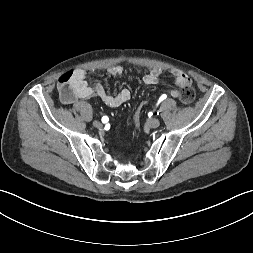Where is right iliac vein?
<instances>
[{"label":"right iliac vein","mask_w":253,"mask_h":253,"mask_svg":"<svg viewBox=\"0 0 253 253\" xmlns=\"http://www.w3.org/2000/svg\"><path fill=\"white\" fill-rule=\"evenodd\" d=\"M93 126L95 128H101L102 127V123L100 121L95 120V121H93Z\"/></svg>","instance_id":"63e3f726"}]
</instances>
